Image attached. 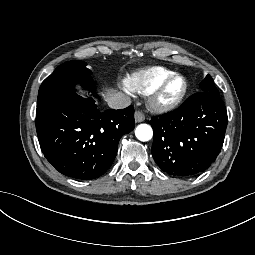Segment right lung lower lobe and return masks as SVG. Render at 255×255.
Returning a JSON list of instances; mask_svg holds the SVG:
<instances>
[{
	"label": "right lung lower lobe",
	"instance_id": "right-lung-lower-lobe-1",
	"mask_svg": "<svg viewBox=\"0 0 255 255\" xmlns=\"http://www.w3.org/2000/svg\"><path fill=\"white\" fill-rule=\"evenodd\" d=\"M135 126L134 108L100 112L75 92L54 96L36 109V130L46 159L60 173L95 179L112 165L120 138Z\"/></svg>",
	"mask_w": 255,
	"mask_h": 255
}]
</instances>
